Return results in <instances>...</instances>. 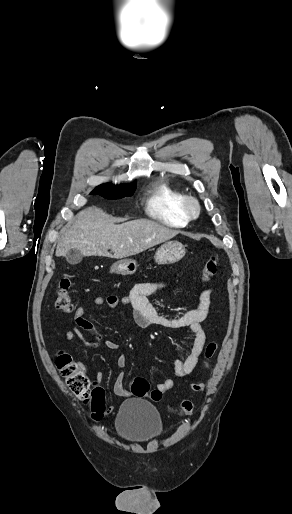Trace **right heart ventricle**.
I'll return each mask as SVG.
<instances>
[{"label": "right heart ventricle", "instance_id": "1", "mask_svg": "<svg viewBox=\"0 0 292 514\" xmlns=\"http://www.w3.org/2000/svg\"><path fill=\"white\" fill-rule=\"evenodd\" d=\"M185 193L166 180H158L147 186L143 192L144 207L153 219L171 226L184 227L188 218L180 209Z\"/></svg>", "mask_w": 292, "mask_h": 514}]
</instances>
